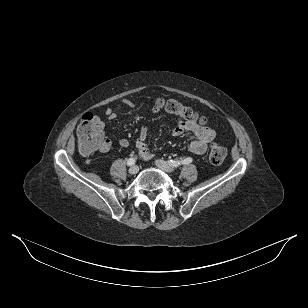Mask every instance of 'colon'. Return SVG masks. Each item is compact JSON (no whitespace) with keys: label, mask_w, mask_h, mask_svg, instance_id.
I'll list each match as a JSON object with an SVG mask.
<instances>
[{"label":"colon","mask_w":308,"mask_h":308,"mask_svg":"<svg viewBox=\"0 0 308 308\" xmlns=\"http://www.w3.org/2000/svg\"><path fill=\"white\" fill-rule=\"evenodd\" d=\"M155 107L199 124L205 122L204 118L197 115L189 107L184 106L173 99H159L157 100ZM77 138L79 149L83 154H91L95 150H98L103 138V130L97 120V116L92 113H86L82 117V120L77 127ZM226 154L227 150L225 146L219 143L210 144L209 161L211 164H221L224 161Z\"/></svg>","instance_id":"1"}]
</instances>
